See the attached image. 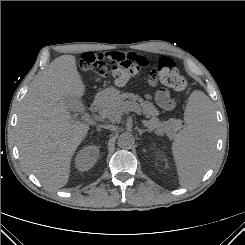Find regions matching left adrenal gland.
Returning a JSON list of instances; mask_svg holds the SVG:
<instances>
[{
    "instance_id": "left-adrenal-gland-1",
    "label": "left adrenal gland",
    "mask_w": 245,
    "mask_h": 245,
    "mask_svg": "<svg viewBox=\"0 0 245 245\" xmlns=\"http://www.w3.org/2000/svg\"><path fill=\"white\" fill-rule=\"evenodd\" d=\"M138 132H139V135H142L143 133H145V132H150V130L149 129H138Z\"/></svg>"
}]
</instances>
